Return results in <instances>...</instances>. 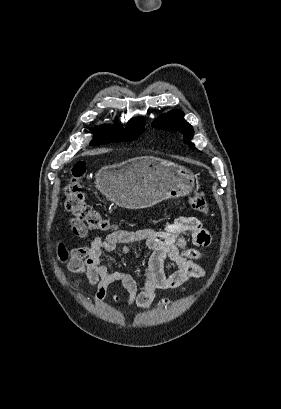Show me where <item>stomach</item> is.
Returning <instances> with one entry per match:
<instances>
[{"label":"stomach","instance_id":"stomach-1","mask_svg":"<svg viewBox=\"0 0 281 409\" xmlns=\"http://www.w3.org/2000/svg\"><path fill=\"white\" fill-rule=\"evenodd\" d=\"M95 186L122 209H147L165 198L190 194L195 176L189 168L158 156H135L102 166Z\"/></svg>","mask_w":281,"mask_h":409}]
</instances>
